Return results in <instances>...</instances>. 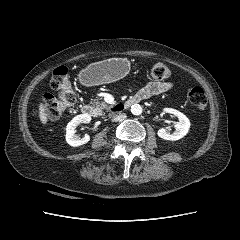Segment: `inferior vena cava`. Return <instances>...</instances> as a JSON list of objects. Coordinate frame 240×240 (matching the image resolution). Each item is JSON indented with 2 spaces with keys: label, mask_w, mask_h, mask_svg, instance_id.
I'll return each mask as SVG.
<instances>
[{
  "label": "inferior vena cava",
  "mask_w": 240,
  "mask_h": 240,
  "mask_svg": "<svg viewBox=\"0 0 240 240\" xmlns=\"http://www.w3.org/2000/svg\"><path fill=\"white\" fill-rule=\"evenodd\" d=\"M110 118L112 121H121L124 120L126 118V115L124 113H112L110 114Z\"/></svg>",
  "instance_id": "1"
}]
</instances>
